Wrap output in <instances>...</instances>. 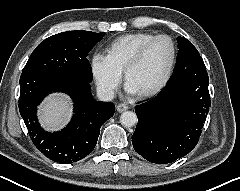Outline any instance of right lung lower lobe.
Returning a JSON list of instances; mask_svg holds the SVG:
<instances>
[{
	"instance_id": "98d812e1",
	"label": "right lung lower lobe",
	"mask_w": 240,
	"mask_h": 191,
	"mask_svg": "<svg viewBox=\"0 0 240 191\" xmlns=\"http://www.w3.org/2000/svg\"><path fill=\"white\" fill-rule=\"evenodd\" d=\"M65 92L74 102V115L60 132H45L39 125L37 106L51 92ZM19 111L32 142L54 162L70 164L90 154L102 124L114 115L110 102L96 101L90 83L57 72L25 74L20 77Z\"/></svg>"
}]
</instances>
